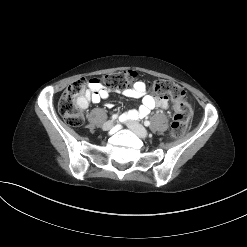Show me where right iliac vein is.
Instances as JSON below:
<instances>
[{"label": "right iliac vein", "mask_w": 247, "mask_h": 247, "mask_svg": "<svg viewBox=\"0 0 247 247\" xmlns=\"http://www.w3.org/2000/svg\"><path fill=\"white\" fill-rule=\"evenodd\" d=\"M114 125V122L112 120H109L107 122H105L102 126V129L107 131V130H110Z\"/></svg>", "instance_id": "1"}]
</instances>
